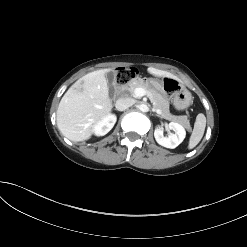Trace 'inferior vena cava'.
Masks as SVG:
<instances>
[{"label": "inferior vena cava", "mask_w": 247, "mask_h": 247, "mask_svg": "<svg viewBox=\"0 0 247 247\" xmlns=\"http://www.w3.org/2000/svg\"><path fill=\"white\" fill-rule=\"evenodd\" d=\"M134 104V99L122 97L116 101L115 107L118 111H124Z\"/></svg>", "instance_id": "obj_1"}]
</instances>
